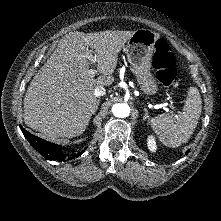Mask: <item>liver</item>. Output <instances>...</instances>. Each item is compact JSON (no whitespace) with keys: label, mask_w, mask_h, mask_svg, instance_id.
<instances>
[{"label":"liver","mask_w":221,"mask_h":221,"mask_svg":"<svg viewBox=\"0 0 221 221\" xmlns=\"http://www.w3.org/2000/svg\"><path fill=\"white\" fill-rule=\"evenodd\" d=\"M135 31L70 32L32 79L24 97L25 124L51 139L82 134L98 109L94 90L110 86L118 54ZM88 47L95 53L94 79L88 74Z\"/></svg>","instance_id":"liver-1"}]
</instances>
